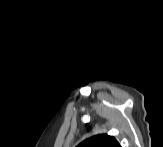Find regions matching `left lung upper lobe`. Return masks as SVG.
Returning <instances> with one entry per match:
<instances>
[{
    "label": "left lung upper lobe",
    "instance_id": "1",
    "mask_svg": "<svg viewBox=\"0 0 163 147\" xmlns=\"http://www.w3.org/2000/svg\"><path fill=\"white\" fill-rule=\"evenodd\" d=\"M78 147H119V143L112 136L100 134L86 139Z\"/></svg>",
    "mask_w": 163,
    "mask_h": 147
}]
</instances>
